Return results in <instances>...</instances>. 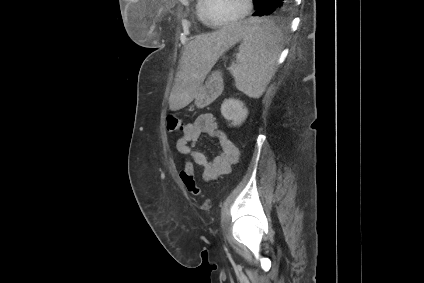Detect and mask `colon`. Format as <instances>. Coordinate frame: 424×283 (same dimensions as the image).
<instances>
[{
	"mask_svg": "<svg viewBox=\"0 0 424 283\" xmlns=\"http://www.w3.org/2000/svg\"><path fill=\"white\" fill-rule=\"evenodd\" d=\"M167 128L171 133H179L184 129L183 120L177 115H169L167 118ZM181 179L186 189L194 196H202V190L196 182L194 176V166L187 162L181 172Z\"/></svg>",
	"mask_w": 424,
	"mask_h": 283,
	"instance_id": "obj_1",
	"label": "colon"
}]
</instances>
